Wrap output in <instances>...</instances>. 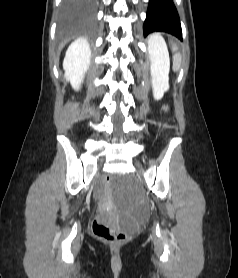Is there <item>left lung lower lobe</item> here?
Returning <instances> with one entry per match:
<instances>
[{
  "label": "left lung lower lobe",
  "instance_id": "0a47b994",
  "mask_svg": "<svg viewBox=\"0 0 238 278\" xmlns=\"http://www.w3.org/2000/svg\"><path fill=\"white\" fill-rule=\"evenodd\" d=\"M154 31L168 32L182 40L179 16L172 0H150L144 36Z\"/></svg>",
  "mask_w": 238,
  "mask_h": 278
}]
</instances>
